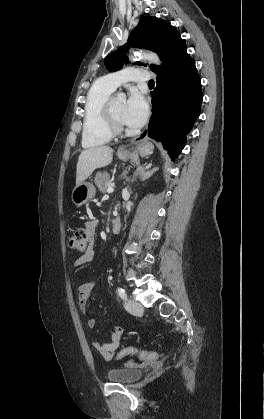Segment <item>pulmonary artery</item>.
<instances>
[{"instance_id": "1", "label": "pulmonary artery", "mask_w": 264, "mask_h": 419, "mask_svg": "<svg viewBox=\"0 0 264 419\" xmlns=\"http://www.w3.org/2000/svg\"><path fill=\"white\" fill-rule=\"evenodd\" d=\"M151 78V74L144 69L128 67L101 78V81L108 88L115 90L121 84L133 80V81H148Z\"/></svg>"}]
</instances>
